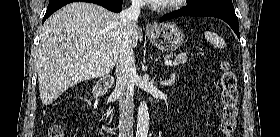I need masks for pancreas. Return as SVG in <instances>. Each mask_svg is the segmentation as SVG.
<instances>
[{
  "label": "pancreas",
  "instance_id": "cf45deb5",
  "mask_svg": "<svg viewBox=\"0 0 280 137\" xmlns=\"http://www.w3.org/2000/svg\"><path fill=\"white\" fill-rule=\"evenodd\" d=\"M170 58V56H165V59ZM186 60V54L185 53H180L177 56H175L173 65H178L179 63H182Z\"/></svg>",
  "mask_w": 280,
  "mask_h": 137
}]
</instances>
